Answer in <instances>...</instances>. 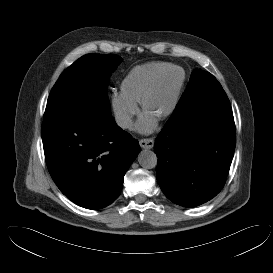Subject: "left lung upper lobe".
<instances>
[{
  "label": "left lung upper lobe",
  "mask_w": 273,
  "mask_h": 273,
  "mask_svg": "<svg viewBox=\"0 0 273 273\" xmlns=\"http://www.w3.org/2000/svg\"><path fill=\"white\" fill-rule=\"evenodd\" d=\"M209 81L212 82L211 85L213 88H204L202 85H206ZM219 91L225 92L212 74L200 69H195L191 74L190 82L181 96L174 112L181 110L192 102L195 96H201L202 94L216 95Z\"/></svg>",
  "instance_id": "left-lung-upper-lobe-1"
}]
</instances>
